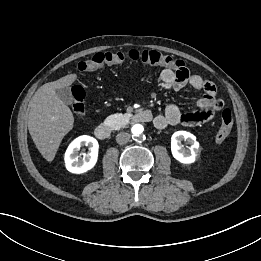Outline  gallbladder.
I'll return each mask as SVG.
<instances>
[{
  "mask_svg": "<svg viewBox=\"0 0 261 261\" xmlns=\"http://www.w3.org/2000/svg\"><path fill=\"white\" fill-rule=\"evenodd\" d=\"M56 94L59 99L67 105H70L73 102V95L68 87L57 89Z\"/></svg>",
  "mask_w": 261,
  "mask_h": 261,
  "instance_id": "bac80fb5",
  "label": "gallbladder"
}]
</instances>
